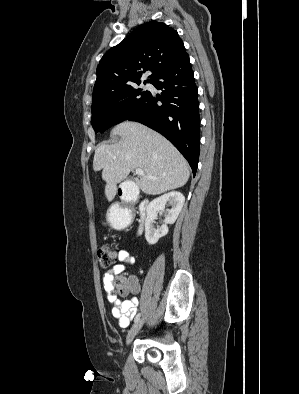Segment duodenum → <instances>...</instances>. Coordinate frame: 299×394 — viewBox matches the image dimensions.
Returning a JSON list of instances; mask_svg holds the SVG:
<instances>
[{"instance_id":"obj_1","label":"duodenum","mask_w":299,"mask_h":394,"mask_svg":"<svg viewBox=\"0 0 299 394\" xmlns=\"http://www.w3.org/2000/svg\"><path fill=\"white\" fill-rule=\"evenodd\" d=\"M118 192L120 197L122 198L124 204H123V210H124V219H130L131 214L129 213V210L131 208V205L137 201V196L134 193V191L131 189V187H128L127 185H120L118 186ZM149 201L146 199H142L138 203L137 211L139 216L143 219L144 215L146 213L147 207H148ZM141 231V228L139 229V232Z\"/></svg>"}]
</instances>
